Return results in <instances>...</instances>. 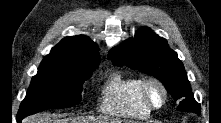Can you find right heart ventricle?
<instances>
[{
    "mask_svg": "<svg viewBox=\"0 0 221 123\" xmlns=\"http://www.w3.org/2000/svg\"><path fill=\"white\" fill-rule=\"evenodd\" d=\"M141 81L138 76L120 71L110 74L103 87L100 110L116 117L147 119L151 109L141 98Z\"/></svg>",
    "mask_w": 221,
    "mask_h": 123,
    "instance_id": "e07e8e85",
    "label": "right heart ventricle"
}]
</instances>
